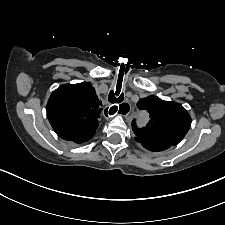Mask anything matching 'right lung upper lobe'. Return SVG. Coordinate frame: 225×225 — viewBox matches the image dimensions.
<instances>
[{
    "label": "right lung upper lobe",
    "mask_w": 225,
    "mask_h": 225,
    "mask_svg": "<svg viewBox=\"0 0 225 225\" xmlns=\"http://www.w3.org/2000/svg\"><path fill=\"white\" fill-rule=\"evenodd\" d=\"M101 106L91 84H64L51 94L47 117L60 138L83 143L96 132Z\"/></svg>",
    "instance_id": "cb5924a9"
}]
</instances>
